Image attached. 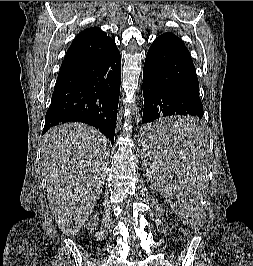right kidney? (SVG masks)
Wrapping results in <instances>:
<instances>
[{"instance_id":"ca27d5eb","label":"right kidney","mask_w":253,"mask_h":266,"mask_svg":"<svg viewBox=\"0 0 253 266\" xmlns=\"http://www.w3.org/2000/svg\"><path fill=\"white\" fill-rule=\"evenodd\" d=\"M98 218L94 217L87 223V229L90 231H94L95 227L97 226Z\"/></svg>"}]
</instances>
